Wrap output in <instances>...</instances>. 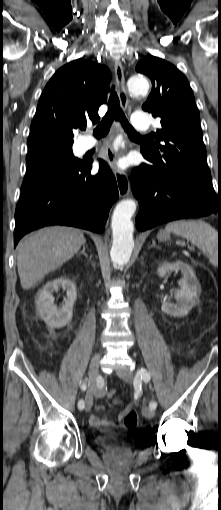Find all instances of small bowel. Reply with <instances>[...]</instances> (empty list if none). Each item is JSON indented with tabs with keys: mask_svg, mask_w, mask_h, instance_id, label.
Wrapping results in <instances>:
<instances>
[{
	"mask_svg": "<svg viewBox=\"0 0 221 510\" xmlns=\"http://www.w3.org/2000/svg\"><path fill=\"white\" fill-rule=\"evenodd\" d=\"M97 396L103 395V389L98 387L94 390ZM104 410V406L101 404H98L94 408V413H92L89 417V423L94 428H97L102 431H111L113 429L123 427V425L116 423L115 421L107 418H101L98 414ZM131 411V407L127 406L122 411H120L117 415V418L119 421L124 419L127 415V413Z\"/></svg>",
	"mask_w": 221,
	"mask_h": 510,
	"instance_id": "small-bowel-1",
	"label": "small bowel"
}]
</instances>
